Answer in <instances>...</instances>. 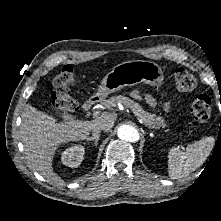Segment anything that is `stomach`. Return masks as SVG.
<instances>
[{"mask_svg": "<svg viewBox=\"0 0 221 221\" xmlns=\"http://www.w3.org/2000/svg\"><path fill=\"white\" fill-rule=\"evenodd\" d=\"M164 80L160 66L146 60L126 61L116 65L102 80L95 98L104 101L105 98L126 86H135L140 83L151 86H160Z\"/></svg>", "mask_w": 221, "mask_h": 221, "instance_id": "stomach-1", "label": "stomach"}]
</instances>
